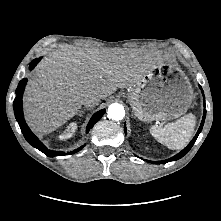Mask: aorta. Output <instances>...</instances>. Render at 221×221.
Returning <instances> with one entry per match:
<instances>
[{
    "label": "aorta",
    "instance_id": "762f6f07",
    "mask_svg": "<svg viewBox=\"0 0 221 221\" xmlns=\"http://www.w3.org/2000/svg\"><path fill=\"white\" fill-rule=\"evenodd\" d=\"M107 116L112 120H122L125 116L124 107L119 103H113L108 107Z\"/></svg>",
    "mask_w": 221,
    "mask_h": 221
}]
</instances>
